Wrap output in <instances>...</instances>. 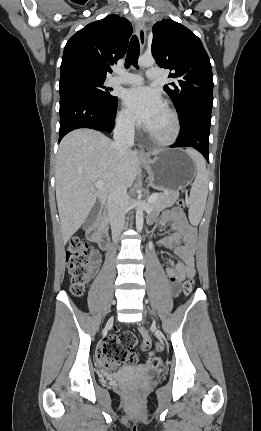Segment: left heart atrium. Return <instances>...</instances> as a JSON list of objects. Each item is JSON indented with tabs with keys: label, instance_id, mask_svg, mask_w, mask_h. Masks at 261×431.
I'll return each instance as SVG.
<instances>
[{
	"label": "left heart atrium",
	"instance_id": "1",
	"mask_svg": "<svg viewBox=\"0 0 261 431\" xmlns=\"http://www.w3.org/2000/svg\"><path fill=\"white\" fill-rule=\"evenodd\" d=\"M123 101L133 117L146 128L153 124L165 108L160 93L146 86L128 89L123 95Z\"/></svg>",
	"mask_w": 261,
	"mask_h": 431
}]
</instances>
